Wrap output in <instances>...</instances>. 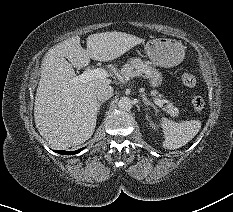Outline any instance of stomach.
Here are the masks:
<instances>
[{"mask_svg":"<svg viewBox=\"0 0 233 212\" xmlns=\"http://www.w3.org/2000/svg\"><path fill=\"white\" fill-rule=\"evenodd\" d=\"M145 52L150 60L148 62L153 70L147 75L151 87H157L162 82V74L154 66L173 67L182 62L185 55L183 45L168 38H156L148 41Z\"/></svg>","mask_w":233,"mask_h":212,"instance_id":"1","label":"stomach"}]
</instances>
